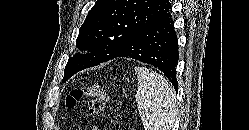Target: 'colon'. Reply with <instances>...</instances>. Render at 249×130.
<instances>
[{
    "label": "colon",
    "mask_w": 249,
    "mask_h": 130,
    "mask_svg": "<svg viewBox=\"0 0 249 130\" xmlns=\"http://www.w3.org/2000/svg\"><path fill=\"white\" fill-rule=\"evenodd\" d=\"M82 99L88 101V114L94 119L103 113L107 102V94L98 84L78 87L67 95L65 105L67 108H73Z\"/></svg>",
    "instance_id": "1"
}]
</instances>
